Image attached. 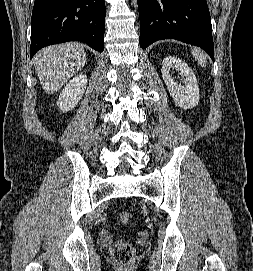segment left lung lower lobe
<instances>
[{
	"label": "left lung lower lobe",
	"instance_id": "obj_1",
	"mask_svg": "<svg viewBox=\"0 0 253 271\" xmlns=\"http://www.w3.org/2000/svg\"><path fill=\"white\" fill-rule=\"evenodd\" d=\"M140 46L176 39L204 49L214 61L212 26L206 0H137Z\"/></svg>",
	"mask_w": 253,
	"mask_h": 271
}]
</instances>
